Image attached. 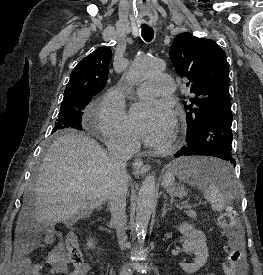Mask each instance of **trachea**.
Instances as JSON below:
<instances>
[{
  "label": "trachea",
  "instance_id": "trachea-1",
  "mask_svg": "<svg viewBox=\"0 0 263 275\" xmlns=\"http://www.w3.org/2000/svg\"><path fill=\"white\" fill-rule=\"evenodd\" d=\"M142 37L145 41L150 42L154 38V30L151 27H142Z\"/></svg>",
  "mask_w": 263,
  "mask_h": 275
}]
</instances>
